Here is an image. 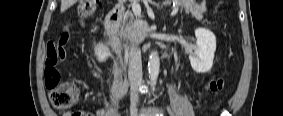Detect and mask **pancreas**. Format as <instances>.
<instances>
[{
  "label": "pancreas",
  "instance_id": "pancreas-1",
  "mask_svg": "<svg viewBox=\"0 0 283 116\" xmlns=\"http://www.w3.org/2000/svg\"><path fill=\"white\" fill-rule=\"evenodd\" d=\"M177 6H181V8H185L186 13H190L192 17L197 19H201L203 14L206 12V8L197 5L195 3H191L188 1H175ZM139 20L135 19L131 12H127L124 16L122 25L120 28L116 29L114 34L123 38L125 40H138L141 35V30L139 27Z\"/></svg>",
  "mask_w": 283,
  "mask_h": 116
}]
</instances>
